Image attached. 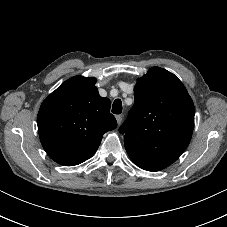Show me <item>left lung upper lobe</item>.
<instances>
[{"label": "left lung upper lobe", "mask_w": 227, "mask_h": 227, "mask_svg": "<svg viewBox=\"0 0 227 227\" xmlns=\"http://www.w3.org/2000/svg\"><path fill=\"white\" fill-rule=\"evenodd\" d=\"M134 106L119 128L130 159L140 168L160 171L189 145L194 104L182 82L169 71L151 68L134 87Z\"/></svg>", "instance_id": "left-lung-upper-lobe-1"}]
</instances>
